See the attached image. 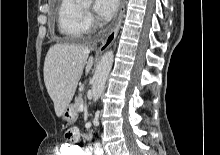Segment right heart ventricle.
<instances>
[{
    "mask_svg": "<svg viewBox=\"0 0 220 155\" xmlns=\"http://www.w3.org/2000/svg\"><path fill=\"white\" fill-rule=\"evenodd\" d=\"M57 25L59 32L69 40L82 38L89 28L86 14L76 0H60Z\"/></svg>",
    "mask_w": 220,
    "mask_h": 155,
    "instance_id": "obj_1",
    "label": "right heart ventricle"
}]
</instances>
